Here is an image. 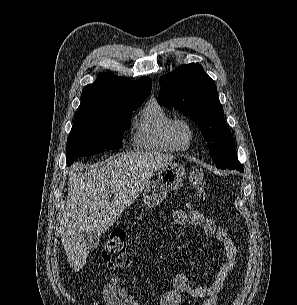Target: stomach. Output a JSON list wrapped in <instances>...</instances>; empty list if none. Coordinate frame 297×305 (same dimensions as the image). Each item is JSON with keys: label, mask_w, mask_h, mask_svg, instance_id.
Masks as SVG:
<instances>
[{"label": "stomach", "mask_w": 297, "mask_h": 305, "mask_svg": "<svg viewBox=\"0 0 297 305\" xmlns=\"http://www.w3.org/2000/svg\"><path fill=\"white\" fill-rule=\"evenodd\" d=\"M157 175V179L149 181L145 186L143 202L147 208L160 204L168 191L179 189L183 185L186 173L182 165L170 162L159 169Z\"/></svg>", "instance_id": "obj_1"}]
</instances>
